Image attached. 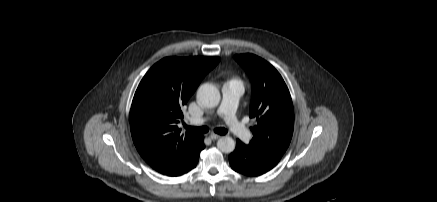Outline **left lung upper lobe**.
Wrapping results in <instances>:
<instances>
[{
  "label": "left lung upper lobe",
  "mask_w": 437,
  "mask_h": 202,
  "mask_svg": "<svg viewBox=\"0 0 437 202\" xmlns=\"http://www.w3.org/2000/svg\"><path fill=\"white\" fill-rule=\"evenodd\" d=\"M252 82L250 117L256 118L254 137L247 145L276 166L287 150L294 128V109L289 90L279 72L253 54L234 56Z\"/></svg>",
  "instance_id": "left-lung-upper-lobe-1"
}]
</instances>
